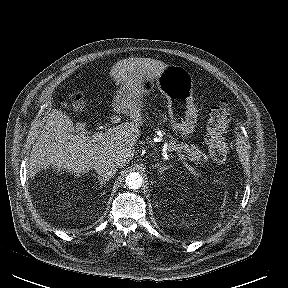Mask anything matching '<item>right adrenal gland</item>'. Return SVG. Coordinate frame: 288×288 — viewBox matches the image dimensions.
<instances>
[{
	"label": "right adrenal gland",
	"mask_w": 288,
	"mask_h": 288,
	"mask_svg": "<svg viewBox=\"0 0 288 288\" xmlns=\"http://www.w3.org/2000/svg\"><path fill=\"white\" fill-rule=\"evenodd\" d=\"M93 177H96L98 179L100 187H102L106 183V181H109V178L104 179V178H101L100 176H96L95 174H93Z\"/></svg>",
	"instance_id": "1"
}]
</instances>
